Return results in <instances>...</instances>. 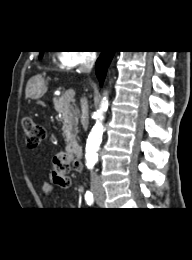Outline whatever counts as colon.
<instances>
[{
	"instance_id": "1",
	"label": "colon",
	"mask_w": 192,
	"mask_h": 260,
	"mask_svg": "<svg viewBox=\"0 0 192 260\" xmlns=\"http://www.w3.org/2000/svg\"><path fill=\"white\" fill-rule=\"evenodd\" d=\"M22 126L26 145L29 148L38 147L45 138L44 128L31 118L23 119ZM78 167L79 163L69 155L57 154L53 159V181L60 187L70 186L71 181L68 174Z\"/></svg>"
}]
</instances>
